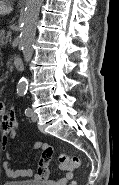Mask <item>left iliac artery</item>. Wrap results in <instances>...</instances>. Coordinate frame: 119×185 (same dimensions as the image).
Wrapping results in <instances>:
<instances>
[{
  "label": "left iliac artery",
  "instance_id": "obj_1",
  "mask_svg": "<svg viewBox=\"0 0 119 185\" xmlns=\"http://www.w3.org/2000/svg\"><path fill=\"white\" fill-rule=\"evenodd\" d=\"M30 111H31L30 108H26V109H25V115H26V116H30Z\"/></svg>",
  "mask_w": 119,
  "mask_h": 185
}]
</instances>
